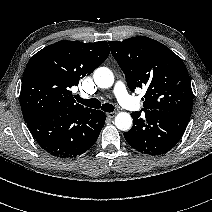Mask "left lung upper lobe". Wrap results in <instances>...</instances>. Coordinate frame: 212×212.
<instances>
[{
	"label": "left lung upper lobe",
	"mask_w": 212,
	"mask_h": 212,
	"mask_svg": "<svg viewBox=\"0 0 212 212\" xmlns=\"http://www.w3.org/2000/svg\"><path fill=\"white\" fill-rule=\"evenodd\" d=\"M109 45L131 91L147 88L142 110L191 114L190 77L180 57L162 43L144 36L110 41Z\"/></svg>",
	"instance_id": "obj_1"
}]
</instances>
